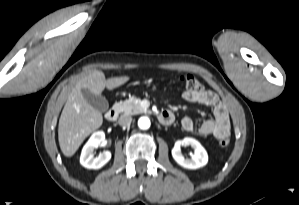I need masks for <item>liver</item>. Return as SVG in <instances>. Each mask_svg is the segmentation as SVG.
I'll return each mask as SVG.
<instances>
[{"label": "liver", "mask_w": 299, "mask_h": 205, "mask_svg": "<svg viewBox=\"0 0 299 205\" xmlns=\"http://www.w3.org/2000/svg\"><path fill=\"white\" fill-rule=\"evenodd\" d=\"M129 79L128 76L106 79L102 71L92 70L77 82L68 96L58 125L59 145L66 157L73 156L85 138L103 122L101 112L86 101L82 89L101 95L105 88L113 90Z\"/></svg>", "instance_id": "obj_1"}]
</instances>
